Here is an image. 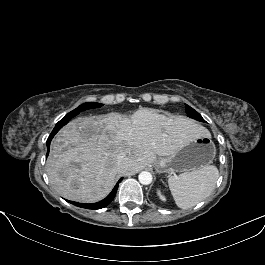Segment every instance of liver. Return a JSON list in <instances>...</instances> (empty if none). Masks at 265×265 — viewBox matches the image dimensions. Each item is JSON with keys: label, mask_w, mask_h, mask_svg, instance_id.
Here are the masks:
<instances>
[{"label": "liver", "mask_w": 265, "mask_h": 265, "mask_svg": "<svg viewBox=\"0 0 265 265\" xmlns=\"http://www.w3.org/2000/svg\"><path fill=\"white\" fill-rule=\"evenodd\" d=\"M206 133L191 119L167 117L149 108L130 118L116 112L79 117L53 140L47 174L62 197L97 202L111 192L118 174H134L157 155H171L186 137ZM119 155L124 156L123 167H118Z\"/></svg>", "instance_id": "liver-1"}]
</instances>
